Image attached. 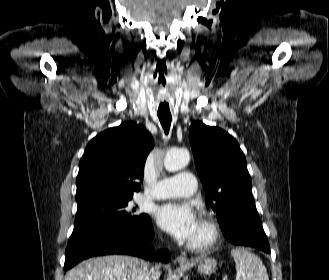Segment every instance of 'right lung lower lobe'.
I'll return each instance as SVG.
<instances>
[{
	"instance_id": "1",
	"label": "right lung lower lobe",
	"mask_w": 329,
	"mask_h": 280,
	"mask_svg": "<svg viewBox=\"0 0 329 280\" xmlns=\"http://www.w3.org/2000/svg\"><path fill=\"white\" fill-rule=\"evenodd\" d=\"M154 235L151 221L141 230L131 232L110 224H93L72 233L66 251L64 272L80 261L93 256L126 254L148 260L169 261V252L155 253L150 244Z\"/></svg>"
}]
</instances>
